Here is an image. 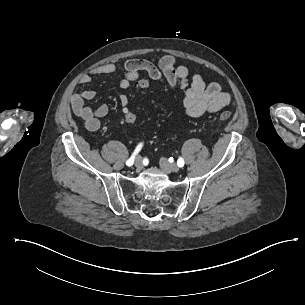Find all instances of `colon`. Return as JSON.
<instances>
[{
    "instance_id": "obj_1",
    "label": "colon",
    "mask_w": 305,
    "mask_h": 305,
    "mask_svg": "<svg viewBox=\"0 0 305 305\" xmlns=\"http://www.w3.org/2000/svg\"><path fill=\"white\" fill-rule=\"evenodd\" d=\"M150 82L147 79H142L139 81L138 86L140 89L145 90L149 87ZM134 92H137V89H134ZM219 119L226 120L230 118L231 112L229 111H223L219 113ZM137 121V115L135 112L131 111L125 114L124 116V122L127 124H133Z\"/></svg>"
}]
</instances>
